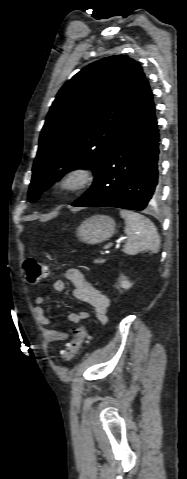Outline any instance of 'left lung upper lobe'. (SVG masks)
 Wrapping results in <instances>:
<instances>
[{"label":"left lung upper lobe","instance_id":"obj_1","mask_svg":"<svg viewBox=\"0 0 187 479\" xmlns=\"http://www.w3.org/2000/svg\"><path fill=\"white\" fill-rule=\"evenodd\" d=\"M145 78L137 61L114 55L86 66L63 85L41 131L30 201L68 171L96 173L117 142Z\"/></svg>","mask_w":187,"mask_h":479}]
</instances>
